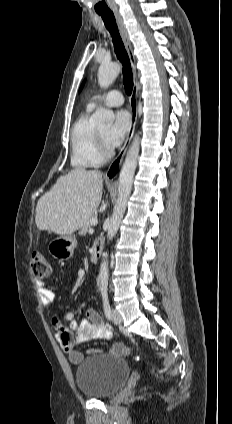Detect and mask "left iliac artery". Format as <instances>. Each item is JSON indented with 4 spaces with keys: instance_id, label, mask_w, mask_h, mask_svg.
Returning a JSON list of instances; mask_svg holds the SVG:
<instances>
[{
    "instance_id": "1",
    "label": "left iliac artery",
    "mask_w": 232,
    "mask_h": 424,
    "mask_svg": "<svg viewBox=\"0 0 232 424\" xmlns=\"http://www.w3.org/2000/svg\"><path fill=\"white\" fill-rule=\"evenodd\" d=\"M103 299V307H104V313L107 319H111V307L109 304V299L107 293L102 294Z\"/></svg>"
}]
</instances>
